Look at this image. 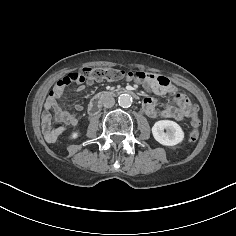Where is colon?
I'll return each instance as SVG.
<instances>
[{"instance_id": "1", "label": "colon", "mask_w": 236, "mask_h": 236, "mask_svg": "<svg viewBox=\"0 0 236 236\" xmlns=\"http://www.w3.org/2000/svg\"><path fill=\"white\" fill-rule=\"evenodd\" d=\"M124 71L111 68V67H97V68H90L86 67L83 68L79 72H71L63 77L58 83L55 88L57 93H62L63 89L66 86H70L73 84H81L84 82L93 83L94 81H116L124 77ZM129 75V74H128ZM131 77L135 80H142L144 79L145 75L141 71H133L131 73ZM191 132H190V140L192 142L196 141L199 137V127H200V120L198 117V106L192 105L191 106Z\"/></svg>"}]
</instances>
